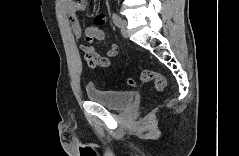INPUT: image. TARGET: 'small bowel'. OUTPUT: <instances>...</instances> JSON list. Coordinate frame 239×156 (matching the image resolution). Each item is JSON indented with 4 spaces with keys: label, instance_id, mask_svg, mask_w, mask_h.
Segmentation results:
<instances>
[{
    "label": "small bowel",
    "instance_id": "small-bowel-1",
    "mask_svg": "<svg viewBox=\"0 0 239 156\" xmlns=\"http://www.w3.org/2000/svg\"><path fill=\"white\" fill-rule=\"evenodd\" d=\"M64 8L67 12L69 23L71 25L73 36L80 39L82 36V28L78 20V14L84 12L87 8L86 0H65ZM105 16L100 14L94 19L93 25L87 26L84 33V41L86 44L80 45V50L84 54L85 62L93 68H106L111 65V59L118 55V46L111 43L104 54L99 53L91 44L94 41H103L105 32L101 28L105 24Z\"/></svg>",
    "mask_w": 239,
    "mask_h": 156
}]
</instances>
